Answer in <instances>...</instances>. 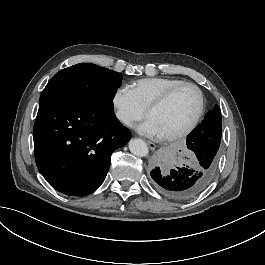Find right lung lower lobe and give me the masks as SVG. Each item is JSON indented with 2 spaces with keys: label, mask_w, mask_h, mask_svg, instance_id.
I'll list each match as a JSON object with an SVG mask.
<instances>
[{
  "label": "right lung lower lobe",
  "mask_w": 265,
  "mask_h": 265,
  "mask_svg": "<svg viewBox=\"0 0 265 265\" xmlns=\"http://www.w3.org/2000/svg\"><path fill=\"white\" fill-rule=\"evenodd\" d=\"M38 170L56 190L85 196L104 181L114 150L131 137L112 110L47 97L33 128Z\"/></svg>",
  "instance_id": "1"
}]
</instances>
